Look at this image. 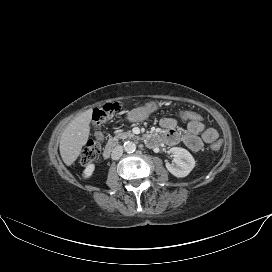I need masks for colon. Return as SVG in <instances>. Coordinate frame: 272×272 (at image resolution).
Wrapping results in <instances>:
<instances>
[{
  "label": "colon",
  "mask_w": 272,
  "mask_h": 272,
  "mask_svg": "<svg viewBox=\"0 0 272 272\" xmlns=\"http://www.w3.org/2000/svg\"><path fill=\"white\" fill-rule=\"evenodd\" d=\"M119 110L118 104H105L99 109H96L93 113V121L97 127H100L101 125L107 123L111 117ZM176 116L179 120L182 121H202L203 117L201 114L190 111V110H178L176 112ZM102 140L103 135L100 130H98L95 134V138L93 140H90L87 142V144L84 146L80 161L83 165H88L95 161L102 148ZM221 147V142L219 140L214 141L211 144V148L214 151L219 150Z\"/></svg>",
  "instance_id": "colon-1"
}]
</instances>
